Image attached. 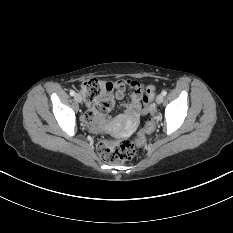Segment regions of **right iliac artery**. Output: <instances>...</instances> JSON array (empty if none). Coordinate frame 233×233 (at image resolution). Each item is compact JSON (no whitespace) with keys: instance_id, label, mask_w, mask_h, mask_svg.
<instances>
[{"instance_id":"1","label":"right iliac artery","mask_w":233,"mask_h":233,"mask_svg":"<svg viewBox=\"0 0 233 233\" xmlns=\"http://www.w3.org/2000/svg\"><path fill=\"white\" fill-rule=\"evenodd\" d=\"M70 95L71 96H74L75 95V92L73 90L70 91Z\"/></svg>"}]
</instances>
